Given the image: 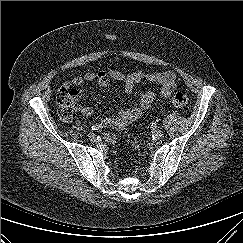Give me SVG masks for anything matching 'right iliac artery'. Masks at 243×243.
Listing matches in <instances>:
<instances>
[{
    "mask_svg": "<svg viewBox=\"0 0 243 243\" xmlns=\"http://www.w3.org/2000/svg\"><path fill=\"white\" fill-rule=\"evenodd\" d=\"M91 128H92V130H98L99 128H101V126L100 125H93Z\"/></svg>",
    "mask_w": 243,
    "mask_h": 243,
    "instance_id": "obj_1",
    "label": "right iliac artery"
}]
</instances>
